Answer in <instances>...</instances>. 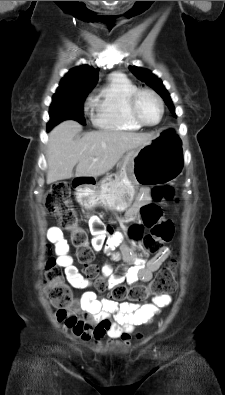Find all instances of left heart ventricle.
<instances>
[{"label":"left heart ventricle","mask_w":225,"mask_h":395,"mask_svg":"<svg viewBox=\"0 0 225 395\" xmlns=\"http://www.w3.org/2000/svg\"><path fill=\"white\" fill-rule=\"evenodd\" d=\"M138 113L145 122L155 123L160 115L159 105L150 95H143L138 101Z\"/></svg>","instance_id":"b2bd125f"}]
</instances>
